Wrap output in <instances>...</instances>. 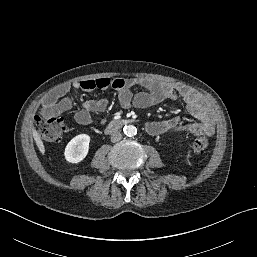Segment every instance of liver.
Instances as JSON below:
<instances>
[{
  "instance_id": "1",
  "label": "liver",
  "mask_w": 257,
  "mask_h": 257,
  "mask_svg": "<svg viewBox=\"0 0 257 257\" xmlns=\"http://www.w3.org/2000/svg\"><path fill=\"white\" fill-rule=\"evenodd\" d=\"M32 134H33V138L35 140V143L39 149V151L41 152L42 155H44L45 153V147L44 144L40 138V135L37 133V131L35 129L32 130Z\"/></svg>"
}]
</instances>
